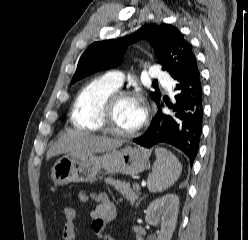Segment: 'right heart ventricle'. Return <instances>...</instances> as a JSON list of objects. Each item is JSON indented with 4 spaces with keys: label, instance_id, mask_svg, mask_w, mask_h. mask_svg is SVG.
<instances>
[{
    "label": "right heart ventricle",
    "instance_id": "e07e8e85",
    "mask_svg": "<svg viewBox=\"0 0 248 240\" xmlns=\"http://www.w3.org/2000/svg\"><path fill=\"white\" fill-rule=\"evenodd\" d=\"M116 90L117 88L103 77L88 82L74 100L70 116L72 125L89 132L101 131L98 123L100 109L105 100Z\"/></svg>",
    "mask_w": 248,
    "mask_h": 240
}]
</instances>
